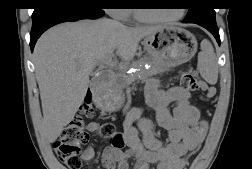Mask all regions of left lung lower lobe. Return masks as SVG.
<instances>
[{"mask_svg":"<svg viewBox=\"0 0 252 169\" xmlns=\"http://www.w3.org/2000/svg\"><path fill=\"white\" fill-rule=\"evenodd\" d=\"M183 23H187L183 20ZM194 24L200 25L207 29L217 40V43L220 45V36H219V29L217 27L216 22H209V21H199V22H192Z\"/></svg>","mask_w":252,"mask_h":169,"instance_id":"obj_1","label":"left lung lower lobe"}]
</instances>
